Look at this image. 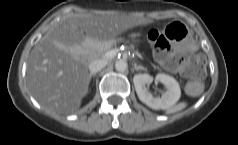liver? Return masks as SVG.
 I'll list each match as a JSON object with an SVG mask.
<instances>
[{
  "label": "liver",
  "instance_id": "6515ba94",
  "mask_svg": "<svg viewBox=\"0 0 238 145\" xmlns=\"http://www.w3.org/2000/svg\"><path fill=\"white\" fill-rule=\"evenodd\" d=\"M151 21L136 14L107 12L102 15L67 16L55 23L32 49L27 63V84L47 110L73 113L88 89L90 50L86 38L103 42Z\"/></svg>",
  "mask_w": 238,
  "mask_h": 145
}]
</instances>
